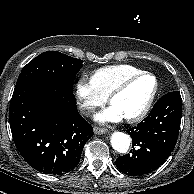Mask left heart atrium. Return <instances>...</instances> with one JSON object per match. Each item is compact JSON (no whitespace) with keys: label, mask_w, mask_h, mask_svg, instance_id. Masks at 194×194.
Here are the masks:
<instances>
[{"label":"left heart atrium","mask_w":194,"mask_h":194,"mask_svg":"<svg viewBox=\"0 0 194 194\" xmlns=\"http://www.w3.org/2000/svg\"><path fill=\"white\" fill-rule=\"evenodd\" d=\"M95 119L100 123L106 122H119L123 119V117L117 112L114 107H109L101 112H99Z\"/></svg>","instance_id":"39dd6f15"}]
</instances>
